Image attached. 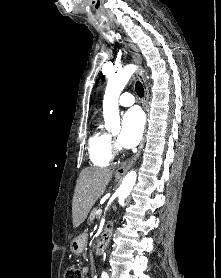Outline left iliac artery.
I'll return each mask as SVG.
<instances>
[{
  "mask_svg": "<svg viewBox=\"0 0 221 278\" xmlns=\"http://www.w3.org/2000/svg\"><path fill=\"white\" fill-rule=\"evenodd\" d=\"M102 278H109L108 274L106 272L102 273Z\"/></svg>",
  "mask_w": 221,
  "mask_h": 278,
  "instance_id": "left-iliac-artery-1",
  "label": "left iliac artery"
}]
</instances>
